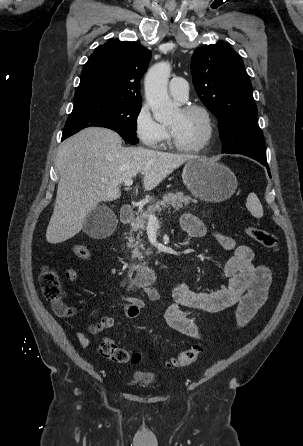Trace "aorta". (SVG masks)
<instances>
[{
	"mask_svg": "<svg viewBox=\"0 0 303 446\" xmlns=\"http://www.w3.org/2000/svg\"><path fill=\"white\" fill-rule=\"evenodd\" d=\"M170 73V64L160 62L150 68L144 81L146 101L158 122L171 119L178 111L177 105L171 101L167 92Z\"/></svg>",
	"mask_w": 303,
	"mask_h": 446,
	"instance_id": "obj_1",
	"label": "aorta"
}]
</instances>
